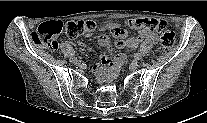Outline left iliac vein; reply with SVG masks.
Masks as SVG:
<instances>
[{
	"label": "left iliac vein",
	"instance_id": "1",
	"mask_svg": "<svg viewBox=\"0 0 207 123\" xmlns=\"http://www.w3.org/2000/svg\"><path fill=\"white\" fill-rule=\"evenodd\" d=\"M138 66H139V64L135 60L132 61L131 64H130V68L133 69V70L136 69Z\"/></svg>",
	"mask_w": 207,
	"mask_h": 123
}]
</instances>
